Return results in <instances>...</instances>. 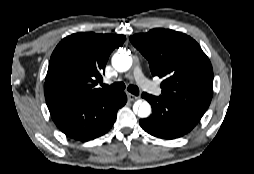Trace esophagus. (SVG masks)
I'll list each match as a JSON object with an SVG mask.
<instances>
[{
	"label": "esophagus",
	"mask_w": 254,
	"mask_h": 174,
	"mask_svg": "<svg viewBox=\"0 0 254 174\" xmlns=\"http://www.w3.org/2000/svg\"><path fill=\"white\" fill-rule=\"evenodd\" d=\"M127 98H128V101L132 102V101H135V100H138L139 97L138 96H135L131 93H127Z\"/></svg>",
	"instance_id": "34e87169"
}]
</instances>
